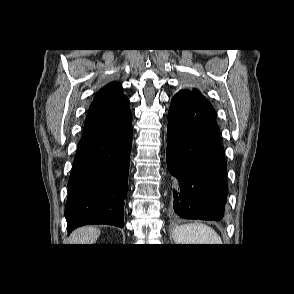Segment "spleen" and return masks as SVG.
I'll return each instance as SVG.
<instances>
[{
    "label": "spleen",
    "mask_w": 294,
    "mask_h": 294,
    "mask_svg": "<svg viewBox=\"0 0 294 294\" xmlns=\"http://www.w3.org/2000/svg\"><path fill=\"white\" fill-rule=\"evenodd\" d=\"M175 244H222L213 228L200 222L184 224L173 231Z\"/></svg>",
    "instance_id": "obj_1"
}]
</instances>
